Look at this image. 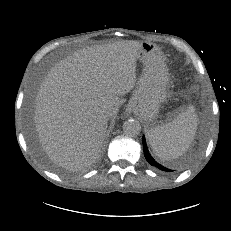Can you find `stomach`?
<instances>
[{
	"mask_svg": "<svg viewBox=\"0 0 231 231\" xmlns=\"http://www.w3.org/2000/svg\"><path fill=\"white\" fill-rule=\"evenodd\" d=\"M137 60L143 64L128 110L154 126L161 104L166 100L169 74L161 51L150 42H142Z\"/></svg>",
	"mask_w": 231,
	"mask_h": 231,
	"instance_id": "0dacf381",
	"label": "stomach"
}]
</instances>
